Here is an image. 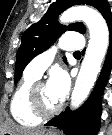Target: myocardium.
I'll return each mask as SVG.
<instances>
[{"mask_svg": "<svg viewBox=\"0 0 112 135\" xmlns=\"http://www.w3.org/2000/svg\"><path fill=\"white\" fill-rule=\"evenodd\" d=\"M43 81H36L28 94V102L32 112L40 118H49L56 115L60 110L62 105L59 103L56 107L52 109H46L43 107L40 99V87L44 85Z\"/></svg>", "mask_w": 112, "mask_h": 135, "instance_id": "obj_1", "label": "myocardium"}]
</instances>
